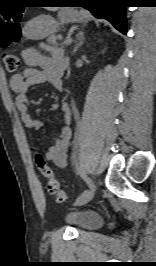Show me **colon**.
Returning <instances> with one entry per match:
<instances>
[{"label":"colon","instance_id":"5ec220e1","mask_svg":"<svg viewBox=\"0 0 156 266\" xmlns=\"http://www.w3.org/2000/svg\"><path fill=\"white\" fill-rule=\"evenodd\" d=\"M21 18V10L16 9L11 14L3 17L0 21V44L3 46L17 42L20 39L19 20ZM3 61L9 72H15L20 65L19 57L14 53H5ZM36 164L47 180V191L54 195L57 203H64L67 200L66 193L61 189L60 183L54 175L53 170L47 165L45 159L41 155L35 158Z\"/></svg>","mask_w":156,"mask_h":266}]
</instances>
